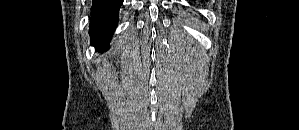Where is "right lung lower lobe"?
<instances>
[{
	"label": "right lung lower lobe",
	"mask_w": 299,
	"mask_h": 130,
	"mask_svg": "<svg viewBox=\"0 0 299 130\" xmlns=\"http://www.w3.org/2000/svg\"><path fill=\"white\" fill-rule=\"evenodd\" d=\"M123 0H94L91 7L90 37L91 45L99 52L108 49V42L117 23L119 9Z\"/></svg>",
	"instance_id": "obj_1"
}]
</instances>
